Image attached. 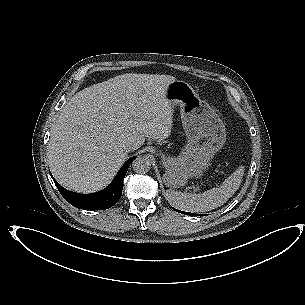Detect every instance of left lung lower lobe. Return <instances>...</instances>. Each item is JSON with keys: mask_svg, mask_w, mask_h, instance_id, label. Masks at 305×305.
I'll return each instance as SVG.
<instances>
[{"mask_svg": "<svg viewBox=\"0 0 305 305\" xmlns=\"http://www.w3.org/2000/svg\"><path fill=\"white\" fill-rule=\"evenodd\" d=\"M175 211L180 212V213H183V214H186V215H196V214H194V213L182 212V211H178V210H175Z\"/></svg>", "mask_w": 305, "mask_h": 305, "instance_id": "1", "label": "left lung lower lobe"}]
</instances>
